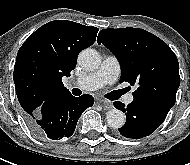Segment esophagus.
<instances>
[{"label":"esophagus","instance_id":"34e87169","mask_svg":"<svg viewBox=\"0 0 190 165\" xmlns=\"http://www.w3.org/2000/svg\"><path fill=\"white\" fill-rule=\"evenodd\" d=\"M99 103L103 106L105 110H110L113 108V105L109 101L99 100Z\"/></svg>","mask_w":190,"mask_h":165}]
</instances>
